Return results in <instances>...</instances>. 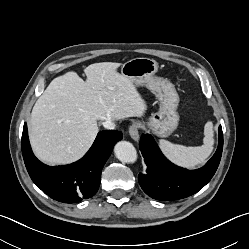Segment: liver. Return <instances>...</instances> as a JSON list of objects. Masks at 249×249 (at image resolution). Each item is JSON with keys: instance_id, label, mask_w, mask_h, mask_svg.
Wrapping results in <instances>:
<instances>
[{"instance_id": "liver-1", "label": "liver", "mask_w": 249, "mask_h": 249, "mask_svg": "<svg viewBox=\"0 0 249 249\" xmlns=\"http://www.w3.org/2000/svg\"><path fill=\"white\" fill-rule=\"evenodd\" d=\"M119 63L102 62L84 69L86 81L67 72L51 81L36 101L29 121L35 155L51 165L69 164L91 147L97 121L141 117L147 106L134 83L119 74Z\"/></svg>"}]
</instances>
